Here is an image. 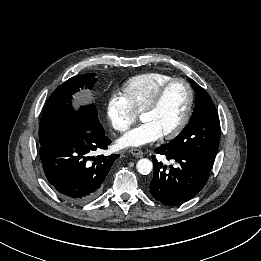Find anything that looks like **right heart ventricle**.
I'll list each match as a JSON object with an SVG mask.
<instances>
[{
	"mask_svg": "<svg viewBox=\"0 0 261 261\" xmlns=\"http://www.w3.org/2000/svg\"><path fill=\"white\" fill-rule=\"evenodd\" d=\"M173 77L162 72H148L129 78L122 93L136 113H141L154 99L158 90Z\"/></svg>",
	"mask_w": 261,
	"mask_h": 261,
	"instance_id": "1",
	"label": "right heart ventricle"
}]
</instances>
